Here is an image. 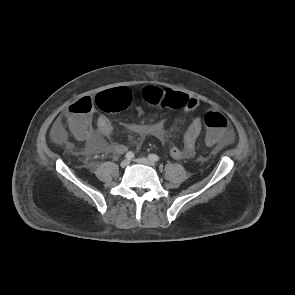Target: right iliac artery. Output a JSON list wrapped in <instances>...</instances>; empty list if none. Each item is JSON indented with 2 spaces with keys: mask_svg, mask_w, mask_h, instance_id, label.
Instances as JSON below:
<instances>
[{
  "mask_svg": "<svg viewBox=\"0 0 295 295\" xmlns=\"http://www.w3.org/2000/svg\"><path fill=\"white\" fill-rule=\"evenodd\" d=\"M125 157L128 159V160H131L134 158V153L129 151L126 153Z\"/></svg>",
  "mask_w": 295,
  "mask_h": 295,
  "instance_id": "1",
  "label": "right iliac artery"
}]
</instances>
